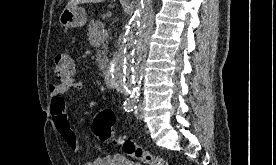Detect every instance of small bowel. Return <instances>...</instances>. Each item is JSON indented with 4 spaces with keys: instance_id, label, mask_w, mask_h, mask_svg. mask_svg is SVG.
Here are the masks:
<instances>
[{
    "instance_id": "small-bowel-1",
    "label": "small bowel",
    "mask_w": 276,
    "mask_h": 165,
    "mask_svg": "<svg viewBox=\"0 0 276 165\" xmlns=\"http://www.w3.org/2000/svg\"><path fill=\"white\" fill-rule=\"evenodd\" d=\"M84 87L85 83L82 80L74 78L61 80L59 83H51L49 85L50 112L55 127L67 146L77 154L83 153L85 146L78 140L71 127L66 110L65 95L72 90H82ZM89 146L100 151V147L96 143ZM114 160L112 156L103 154L93 160L83 162L81 165H112Z\"/></svg>"
}]
</instances>
